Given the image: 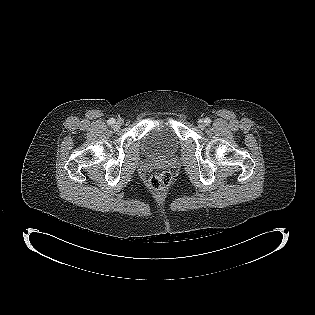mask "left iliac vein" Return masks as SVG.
Returning <instances> with one entry per match:
<instances>
[{
  "mask_svg": "<svg viewBox=\"0 0 315 315\" xmlns=\"http://www.w3.org/2000/svg\"><path fill=\"white\" fill-rule=\"evenodd\" d=\"M198 126H199V128H201V129L205 128V122H204L203 119H199V121H198Z\"/></svg>",
  "mask_w": 315,
  "mask_h": 315,
  "instance_id": "left-iliac-vein-1",
  "label": "left iliac vein"
}]
</instances>
